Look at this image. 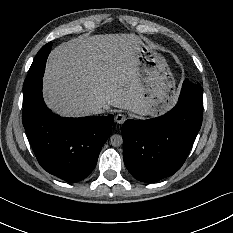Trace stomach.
Instances as JSON below:
<instances>
[{
	"instance_id": "stomach-1",
	"label": "stomach",
	"mask_w": 233,
	"mask_h": 233,
	"mask_svg": "<svg viewBox=\"0 0 233 233\" xmlns=\"http://www.w3.org/2000/svg\"><path fill=\"white\" fill-rule=\"evenodd\" d=\"M130 59L138 72L147 115L169 112L177 100L176 81L168 61L138 37L129 42Z\"/></svg>"
}]
</instances>
